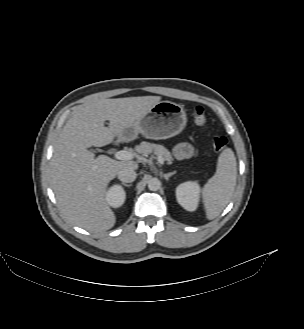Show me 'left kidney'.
Here are the masks:
<instances>
[{
    "label": "left kidney",
    "instance_id": "1",
    "mask_svg": "<svg viewBox=\"0 0 304 329\" xmlns=\"http://www.w3.org/2000/svg\"><path fill=\"white\" fill-rule=\"evenodd\" d=\"M200 186L197 182L181 183L176 188L178 203L187 211H195L199 202Z\"/></svg>",
    "mask_w": 304,
    "mask_h": 329
}]
</instances>
